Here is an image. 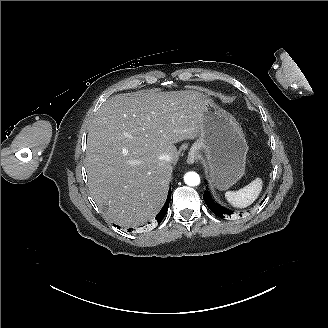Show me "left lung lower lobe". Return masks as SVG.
I'll list each match as a JSON object with an SVG mask.
<instances>
[{
    "instance_id": "0a47b994",
    "label": "left lung lower lobe",
    "mask_w": 328,
    "mask_h": 328,
    "mask_svg": "<svg viewBox=\"0 0 328 328\" xmlns=\"http://www.w3.org/2000/svg\"><path fill=\"white\" fill-rule=\"evenodd\" d=\"M203 199L206 203V205L208 206V208L218 217L220 218H225L226 216H231L232 215V211L224 208L223 206H220L218 204H216L211 197L209 196L208 192H204L203 194ZM241 215V214H240Z\"/></svg>"
}]
</instances>
